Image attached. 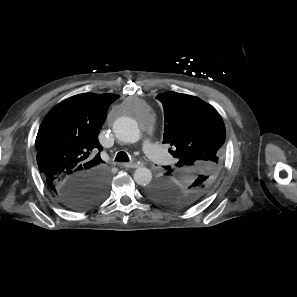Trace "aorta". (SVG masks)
Wrapping results in <instances>:
<instances>
[{"mask_svg": "<svg viewBox=\"0 0 297 297\" xmlns=\"http://www.w3.org/2000/svg\"><path fill=\"white\" fill-rule=\"evenodd\" d=\"M113 131L118 140L124 143H136L141 138V132L137 122L126 116H122L113 124ZM152 180V172L146 167L137 168L134 172V181L141 186L148 185Z\"/></svg>", "mask_w": 297, "mask_h": 297, "instance_id": "obj_1", "label": "aorta"}]
</instances>
